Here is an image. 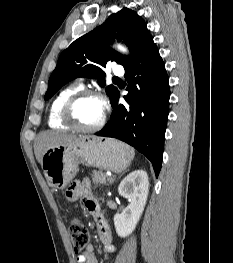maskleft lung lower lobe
I'll use <instances>...</instances> for the list:
<instances>
[{
    "mask_svg": "<svg viewBox=\"0 0 233 263\" xmlns=\"http://www.w3.org/2000/svg\"><path fill=\"white\" fill-rule=\"evenodd\" d=\"M124 69L129 91L124 96L127 105L118 104V91L111 102L113 113L110 121L95 135L116 138L133 146L151 161L158 176L170 87L164 62L153 40Z\"/></svg>",
    "mask_w": 233,
    "mask_h": 263,
    "instance_id": "left-lung-lower-lobe-1",
    "label": "left lung lower lobe"
}]
</instances>
